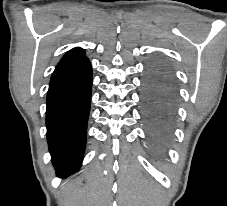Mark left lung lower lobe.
<instances>
[{
    "instance_id": "obj_1",
    "label": "left lung lower lobe",
    "mask_w": 227,
    "mask_h": 206,
    "mask_svg": "<svg viewBox=\"0 0 227 206\" xmlns=\"http://www.w3.org/2000/svg\"><path fill=\"white\" fill-rule=\"evenodd\" d=\"M175 88L169 69L162 63H151L142 80V118L147 136L154 146L163 145L171 134Z\"/></svg>"
}]
</instances>
